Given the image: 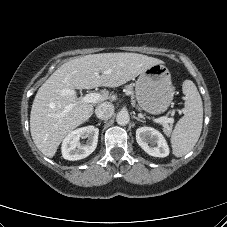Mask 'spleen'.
<instances>
[{"mask_svg": "<svg viewBox=\"0 0 227 227\" xmlns=\"http://www.w3.org/2000/svg\"><path fill=\"white\" fill-rule=\"evenodd\" d=\"M185 95V114L177 122L172 135L173 154L182 157L190 152L197 143L203 123V104L197 87L191 80H185L182 85Z\"/></svg>", "mask_w": 227, "mask_h": 227, "instance_id": "1", "label": "spleen"}]
</instances>
